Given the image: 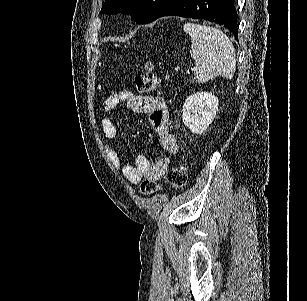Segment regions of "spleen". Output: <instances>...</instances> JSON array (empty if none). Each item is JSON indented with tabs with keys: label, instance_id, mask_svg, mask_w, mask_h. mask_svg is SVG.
Returning a JSON list of instances; mask_svg holds the SVG:
<instances>
[{
	"label": "spleen",
	"instance_id": "1",
	"mask_svg": "<svg viewBox=\"0 0 307 301\" xmlns=\"http://www.w3.org/2000/svg\"><path fill=\"white\" fill-rule=\"evenodd\" d=\"M184 32L191 36L192 58L198 62L196 82H208L210 78H232L236 70V52L227 34L214 26L186 22Z\"/></svg>",
	"mask_w": 307,
	"mask_h": 301
}]
</instances>
